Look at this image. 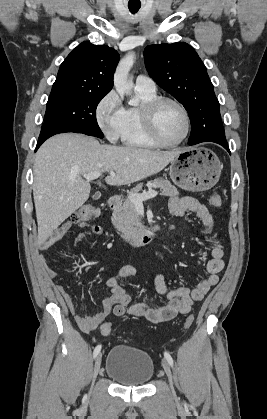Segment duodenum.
<instances>
[{
	"label": "duodenum",
	"instance_id": "duodenum-1",
	"mask_svg": "<svg viewBox=\"0 0 267 419\" xmlns=\"http://www.w3.org/2000/svg\"><path fill=\"white\" fill-rule=\"evenodd\" d=\"M122 199L120 196H112L108 200V208L111 211L118 209L121 205ZM156 232L154 230H145L133 236L120 234V237L134 247H142L151 244L156 239Z\"/></svg>",
	"mask_w": 267,
	"mask_h": 419
}]
</instances>
